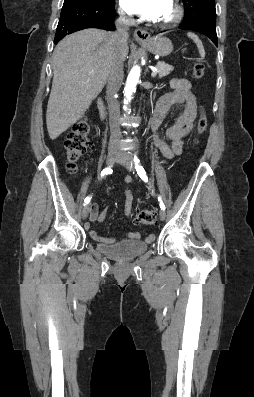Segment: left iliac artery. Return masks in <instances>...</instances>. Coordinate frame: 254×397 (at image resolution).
I'll return each mask as SVG.
<instances>
[{
  "instance_id": "obj_1",
  "label": "left iliac artery",
  "mask_w": 254,
  "mask_h": 397,
  "mask_svg": "<svg viewBox=\"0 0 254 397\" xmlns=\"http://www.w3.org/2000/svg\"><path fill=\"white\" fill-rule=\"evenodd\" d=\"M134 162H135V168H136V171H137L139 177L144 182H147L148 181V177L146 175V172H145L144 168L140 165V160L138 159V157L136 155L134 156ZM159 201H160V208L162 210H165V205H164V203H163V201H162V199L160 197H159Z\"/></svg>"
}]
</instances>
